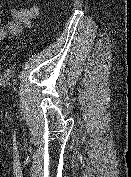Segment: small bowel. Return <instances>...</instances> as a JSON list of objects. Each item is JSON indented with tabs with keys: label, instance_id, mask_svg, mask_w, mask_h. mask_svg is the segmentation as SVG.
I'll list each match as a JSON object with an SVG mask.
<instances>
[{
	"label": "small bowel",
	"instance_id": "c3829d8e",
	"mask_svg": "<svg viewBox=\"0 0 131 177\" xmlns=\"http://www.w3.org/2000/svg\"><path fill=\"white\" fill-rule=\"evenodd\" d=\"M38 15L39 7L35 3H32L29 7L24 9H13L9 21L4 27H0V41L8 36H17L21 34L23 29L30 26L32 20Z\"/></svg>",
	"mask_w": 131,
	"mask_h": 177
}]
</instances>
